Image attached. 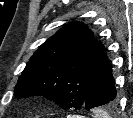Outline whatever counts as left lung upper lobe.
I'll return each mask as SVG.
<instances>
[{"label":"left lung upper lobe","mask_w":133,"mask_h":118,"mask_svg":"<svg viewBox=\"0 0 133 118\" xmlns=\"http://www.w3.org/2000/svg\"><path fill=\"white\" fill-rule=\"evenodd\" d=\"M108 62L103 45L82 23L70 24L33 54L15 86L17 98L43 95L63 109L84 108L92 86ZM117 101L107 105L113 110Z\"/></svg>","instance_id":"5c2ea615"}]
</instances>
